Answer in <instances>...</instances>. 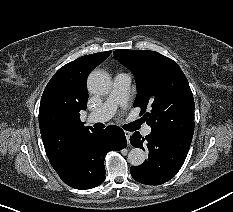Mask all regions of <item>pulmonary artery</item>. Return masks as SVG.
Returning <instances> with one entry per match:
<instances>
[{
	"label": "pulmonary artery",
	"mask_w": 233,
	"mask_h": 212,
	"mask_svg": "<svg viewBox=\"0 0 233 212\" xmlns=\"http://www.w3.org/2000/svg\"><path fill=\"white\" fill-rule=\"evenodd\" d=\"M131 77L126 73H118L114 77L110 94L105 102L96 110L88 115L90 122H105L109 120L116 112L118 107H126L128 102ZM143 133H151V127L145 126Z\"/></svg>",
	"instance_id": "e3ab8cb5"
}]
</instances>
